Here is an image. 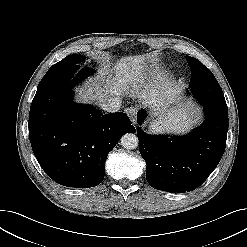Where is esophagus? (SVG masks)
<instances>
[{
	"label": "esophagus",
	"mask_w": 247,
	"mask_h": 247,
	"mask_svg": "<svg viewBox=\"0 0 247 247\" xmlns=\"http://www.w3.org/2000/svg\"><path fill=\"white\" fill-rule=\"evenodd\" d=\"M125 112L129 116L131 122L133 124H136V121H137V108L130 107V108L125 109Z\"/></svg>",
	"instance_id": "obj_1"
}]
</instances>
